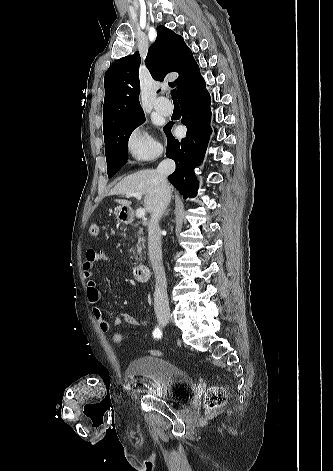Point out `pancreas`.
<instances>
[{
  "instance_id": "pancreas-1",
  "label": "pancreas",
  "mask_w": 333,
  "mask_h": 471,
  "mask_svg": "<svg viewBox=\"0 0 333 471\" xmlns=\"http://www.w3.org/2000/svg\"><path fill=\"white\" fill-rule=\"evenodd\" d=\"M133 226L138 228V230L135 231V234H134V237L138 238V242H137L136 247L133 248L134 249L133 254H135V252L141 253L142 249L145 247V245H144L145 239L143 237V228L139 225V223H135ZM132 241H134V240L132 239ZM136 258L140 259L138 257H136Z\"/></svg>"
}]
</instances>
